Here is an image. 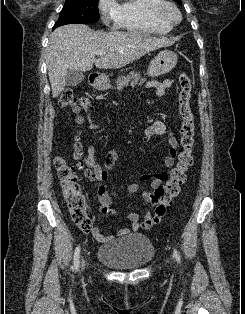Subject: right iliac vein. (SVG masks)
Segmentation results:
<instances>
[{"label": "right iliac vein", "instance_id": "63e3f726", "mask_svg": "<svg viewBox=\"0 0 245 314\" xmlns=\"http://www.w3.org/2000/svg\"><path fill=\"white\" fill-rule=\"evenodd\" d=\"M84 267H85V259L82 258V260H81V269H84Z\"/></svg>", "mask_w": 245, "mask_h": 314}]
</instances>
